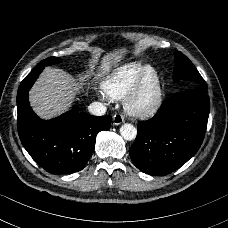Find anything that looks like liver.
I'll return each instance as SVG.
<instances>
[{
  "label": "liver",
  "mask_w": 228,
  "mask_h": 228,
  "mask_svg": "<svg viewBox=\"0 0 228 228\" xmlns=\"http://www.w3.org/2000/svg\"><path fill=\"white\" fill-rule=\"evenodd\" d=\"M104 70H109L105 64ZM77 87L71 77L61 70L48 68L31 93V101L37 112L51 116L68 104Z\"/></svg>",
  "instance_id": "obj_1"
}]
</instances>
